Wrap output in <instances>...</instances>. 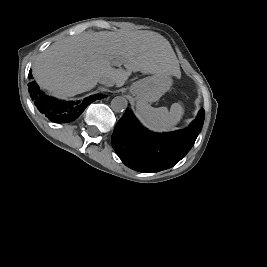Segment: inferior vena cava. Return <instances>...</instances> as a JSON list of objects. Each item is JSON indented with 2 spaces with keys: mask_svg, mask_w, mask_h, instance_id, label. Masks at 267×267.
I'll use <instances>...</instances> for the list:
<instances>
[{
  "mask_svg": "<svg viewBox=\"0 0 267 267\" xmlns=\"http://www.w3.org/2000/svg\"><path fill=\"white\" fill-rule=\"evenodd\" d=\"M99 83L105 85V86H108V87H111L115 84V81L111 78H107V77H102L99 79Z\"/></svg>",
  "mask_w": 267,
  "mask_h": 267,
  "instance_id": "602c4592",
  "label": "inferior vena cava"
}]
</instances>
